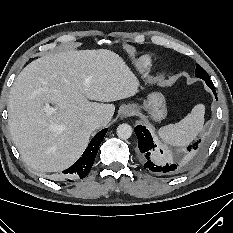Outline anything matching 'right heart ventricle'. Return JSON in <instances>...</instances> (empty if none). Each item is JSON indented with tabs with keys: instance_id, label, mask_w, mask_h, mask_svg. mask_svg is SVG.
<instances>
[{
	"instance_id": "e07e8e85",
	"label": "right heart ventricle",
	"mask_w": 233,
	"mask_h": 233,
	"mask_svg": "<svg viewBox=\"0 0 233 233\" xmlns=\"http://www.w3.org/2000/svg\"><path fill=\"white\" fill-rule=\"evenodd\" d=\"M152 63V60L149 56H141L135 61V65L138 69L143 70L147 69Z\"/></svg>"
}]
</instances>
